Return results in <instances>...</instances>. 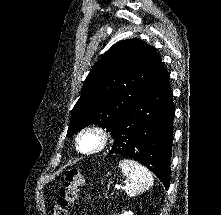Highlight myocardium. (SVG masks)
<instances>
[{"label": "myocardium", "instance_id": "f54148a6", "mask_svg": "<svg viewBox=\"0 0 221 215\" xmlns=\"http://www.w3.org/2000/svg\"><path fill=\"white\" fill-rule=\"evenodd\" d=\"M86 135H94L97 137L98 143L93 149L83 150L81 148L80 142L82 138ZM109 141H110V135L108 131L100 125L92 124L85 126L78 132V134L75 137V147L76 150L81 154L94 155L102 152L108 146Z\"/></svg>", "mask_w": 221, "mask_h": 215}]
</instances>
